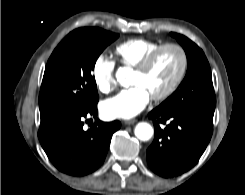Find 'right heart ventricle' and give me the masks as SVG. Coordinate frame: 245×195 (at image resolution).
<instances>
[{"mask_svg": "<svg viewBox=\"0 0 245 195\" xmlns=\"http://www.w3.org/2000/svg\"><path fill=\"white\" fill-rule=\"evenodd\" d=\"M160 45L155 41L135 38L118 44L114 49V54L121 65L135 68L150 52Z\"/></svg>", "mask_w": 245, "mask_h": 195, "instance_id": "1", "label": "right heart ventricle"}]
</instances>
